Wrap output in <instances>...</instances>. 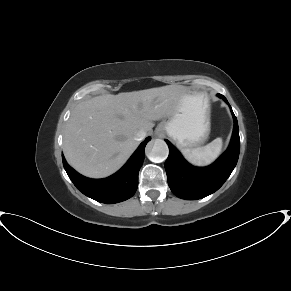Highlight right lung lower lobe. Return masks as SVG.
<instances>
[{
    "label": "right lung lower lobe",
    "mask_w": 291,
    "mask_h": 291,
    "mask_svg": "<svg viewBox=\"0 0 291 291\" xmlns=\"http://www.w3.org/2000/svg\"><path fill=\"white\" fill-rule=\"evenodd\" d=\"M147 137L128 162L115 174L104 179H89L71 168L62 155L64 169L77 189L84 195L101 203L122 202L134 195L138 186V173L144 161Z\"/></svg>",
    "instance_id": "1"
}]
</instances>
